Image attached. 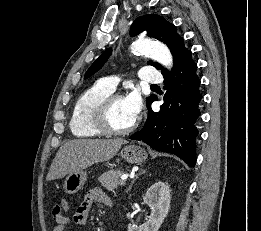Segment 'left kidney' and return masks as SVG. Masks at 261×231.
I'll list each match as a JSON object with an SVG mask.
<instances>
[{
	"label": "left kidney",
	"mask_w": 261,
	"mask_h": 231,
	"mask_svg": "<svg viewBox=\"0 0 261 231\" xmlns=\"http://www.w3.org/2000/svg\"><path fill=\"white\" fill-rule=\"evenodd\" d=\"M150 207L151 214L147 222L140 226L128 225V231H158L170 209L171 190L164 182L153 184L143 197Z\"/></svg>",
	"instance_id": "5707ae66"
}]
</instances>
